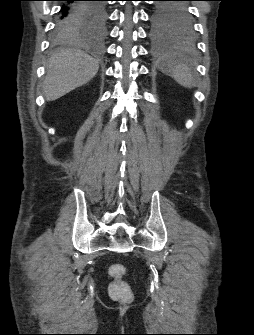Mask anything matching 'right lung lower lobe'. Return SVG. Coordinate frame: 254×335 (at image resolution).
<instances>
[{
	"instance_id": "right-lung-lower-lobe-1",
	"label": "right lung lower lobe",
	"mask_w": 254,
	"mask_h": 335,
	"mask_svg": "<svg viewBox=\"0 0 254 335\" xmlns=\"http://www.w3.org/2000/svg\"><path fill=\"white\" fill-rule=\"evenodd\" d=\"M63 1L59 12L54 33H60L71 29L77 21L79 29L84 32L92 30L99 21V11L94 3L100 0H61Z\"/></svg>"
}]
</instances>
